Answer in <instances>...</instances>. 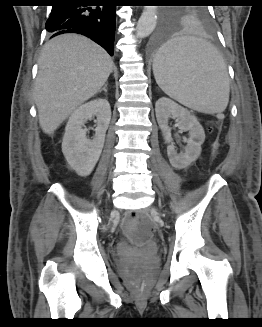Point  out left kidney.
I'll list each match as a JSON object with an SVG mask.
<instances>
[{
  "mask_svg": "<svg viewBox=\"0 0 262 327\" xmlns=\"http://www.w3.org/2000/svg\"><path fill=\"white\" fill-rule=\"evenodd\" d=\"M155 112L164 140L169 143L167 154L170 164L178 170L188 167L201 153V145L205 141L202 125L188 109L166 97H162L156 102ZM169 118H178L179 129L189 131V139L183 153L178 154L171 143V129L168 127Z\"/></svg>",
  "mask_w": 262,
  "mask_h": 327,
  "instance_id": "5707ae66",
  "label": "left kidney"
}]
</instances>
